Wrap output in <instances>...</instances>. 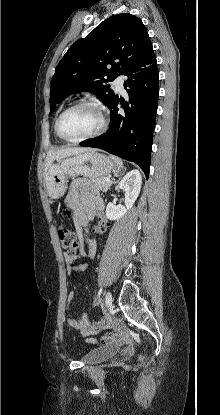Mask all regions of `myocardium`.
Listing matches in <instances>:
<instances>
[{"label": "myocardium", "instance_id": "f54148a6", "mask_svg": "<svg viewBox=\"0 0 220 415\" xmlns=\"http://www.w3.org/2000/svg\"><path fill=\"white\" fill-rule=\"evenodd\" d=\"M80 107H92V108L96 109L99 116H100V126L95 132H93V133H91L87 136H84V137H81V138H76V139L66 138L62 135V133L60 131L61 120L68 112H70V111H72L76 108H80ZM107 126H108V120H107L106 113H105L102 105L99 102L95 101V100H82V101L76 102L73 105L69 106L58 116V118L56 119V122H55V132H56L57 136L60 139L66 141L68 143H79V142H83V141H86V140H90V139L99 137L100 135H102L106 131Z\"/></svg>", "mask_w": 220, "mask_h": 415}]
</instances>
